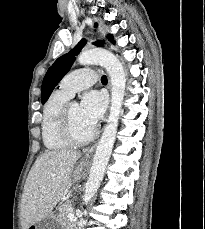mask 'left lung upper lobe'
<instances>
[{
	"instance_id": "obj_1",
	"label": "left lung upper lobe",
	"mask_w": 205,
	"mask_h": 229,
	"mask_svg": "<svg viewBox=\"0 0 205 229\" xmlns=\"http://www.w3.org/2000/svg\"><path fill=\"white\" fill-rule=\"evenodd\" d=\"M97 27V24H95ZM86 40L80 41L75 48L69 53L59 57L54 64L48 69L41 87V102L45 103L49 98L54 87L60 82L64 75L70 70L75 60V55L79 54ZM94 45L102 46L101 42H94Z\"/></svg>"
}]
</instances>
